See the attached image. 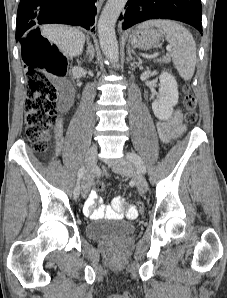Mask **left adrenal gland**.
<instances>
[{
	"label": "left adrenal gland",
	"instance_id": "a2214340",
	"mask_svg": "<svg viewBox=\"0 0 227 298\" xmlns=\"http://www.w3.org/2000/svg\"><path fill=\"white\" fill-rule=\"evenodd\" d=\"M132 55L134 57H137V59L139 60V65L141 63L140 58L135 54V52L130 48V46L128 45V56L130 57L131 60H133L134 58L132 57Z\"/></svg>",
	"mask_w": 227,
	"mask_h": 298
}]
</instances>
